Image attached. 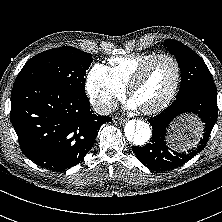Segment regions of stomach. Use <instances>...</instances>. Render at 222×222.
Masks as SVG:
<instances>
[{
  "instance_id": "0dacf381",
  "label": "stomach",
  "mask_w": 222,
  "mask_h": 222,
  "mask_svg": "<svg viewBox=\"0 0 222 222\" xmlns=\"http://www.w3.org/2000/svg\"><path fill=\"white\" fill-rule=\"evenodd\" d=\"M200 123L193 118L174 125L170 140L175 148L188 149L194 147L200 136Z\"/></svg>"
}]
</instances>
